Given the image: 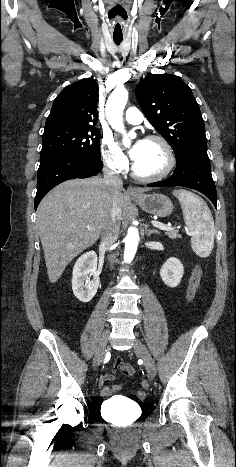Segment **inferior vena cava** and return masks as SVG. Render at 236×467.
Instances as JSON below:
<instances>
[{
  "label": "inferior vena cava",
  "instance_id": "inferior-vena-cava-1",
  "mask_svg": "<svg viewBox=\"0 0 236 467\" xmlns=\"http://www.w3.org/2000/svg\"><path fill=\"white\" fill-rule=\"evenodd\" d=\"M104 174V183L112 190L122 189L123 182L119 174H117L113 169L105 167L103 169ZM120 230V218L118 215V208L115 202H113L112 210L109 213V216L105 220L102 231H101V245L106 249H109L117 240ZM115 254H110L108 260L112 264L115 261Z\"/></svg>",
  "mask_w": 236,
  "mask_h": 467
}]
</instances>
